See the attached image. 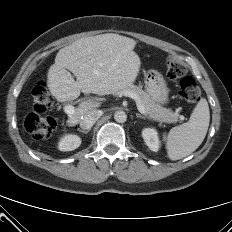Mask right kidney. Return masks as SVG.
<instances>
[{
	"label": "right kidney",
	"mask_w": 232,
	"mask_h": 232,
	"mask_svg": "<svg viewBox=\"0 0 232 232\" xmlns=\"http://www.w3.org/2000/svg\"><path fill=\"white\" fill-rule=\"evenodd\" d=\"M80 144L81 138L78 135L67 134L60 139L58 148L60 151H72L77 149Z\"/></svg>",
	"instance_id": "ca27d5eb"
}]
</instances>
